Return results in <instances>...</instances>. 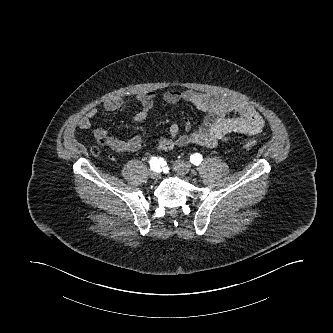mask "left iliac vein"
<instances>
[{
  "label": "left iliac vein",
  "instance_id": "obj_1",
  "mask_svg": "<svg viewBox=\"0 0 333 333\" xmlns=\"http://www.w3.org/2000/svg\"><path fill=\"white\" fill-rule=\"evenodd\" d=\"M174 170L181 175H189L191 173V165L184 161H176L173 163Z\"/></svg>",
  "mask_w": 333,
  "mask_h": 333
}]
</instances>
